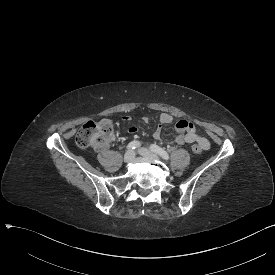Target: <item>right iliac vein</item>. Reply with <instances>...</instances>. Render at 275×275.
Here are the masks:
<instances>
[{"label": "right iliac vein", "mask_w": 275, "mask_h": 275, "mask_svg": "<svg viewBox=\"0 0 275 275\" xmlns=\"http://www.w3.org/2000/svg\"><path fill=\"white\" fill-rule=\"evenodd\" d=\"M134 158H135V152L132 151V150L127 151L124 155V161L126 163H129V162L133 161Z\"/></svg>", "instance_id": "1"}]
</instances>
